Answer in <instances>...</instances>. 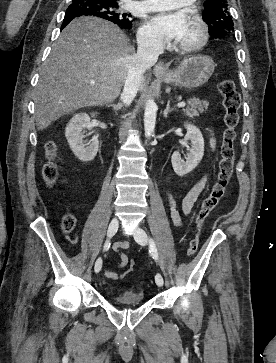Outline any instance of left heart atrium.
Returning a JSON list of instances; mask_svg holds the SVG:
<instances>
[{"label": "left heart atrium", "mask_w": 276, "mask_h": 363, "mask_svg": "<svg viewBox=\"0 0 276 363\" xmlns=\"http://www.w3.org/2000/svg\"><path fill=\"white\" fill-rule=\"evenodd\" d=\"M188 17L184 11L161 12L150 20L152 28L163 38L179 41L187 26Z\"/></svg>", "instance_id": "1"}]
</instances>
